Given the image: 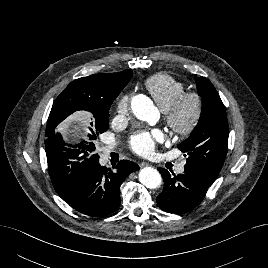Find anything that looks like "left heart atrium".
Here are the masks:
<instances>
[{
	"label": "left heart atrium",
	"mask_w": 268,
	"mask_h": 268,
	"mask_svg": "<svg viewBox=\"0 0 268 268\" xmlns=\"http://www.w3.org/2000/svg\"><path fill=\"white\" fill-rule=\"evenodd\" d=\"M164 134L159 129L143 130L135 133L130 141L132 150L144 157L153 154L156 144L164 141Z\"/></svg>",
	"instance_id": "left-heart-atrium-1"
}]
</instances>
